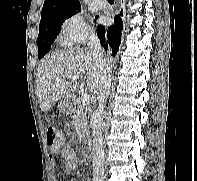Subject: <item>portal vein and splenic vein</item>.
Listing matches in <instances>:
<instances>
[{"instance_id":"1","label":"portal vein and splenic vein","mask_w":197,"mask_h":181,"mask_svg":"<svg viewBox=\"0 0 197 181\" xmlns=\"http://www.w3.org/2000/svg\"><path fill=\"white\" fill-rule=\"evenodd\" d=\"M79 78H80V75H71V76H69V79H71L72 81H75V80H77ZM61 81H62L61 78H57V82H61ZM89 101H90V95L87 94V93L82 94L81 102H82V105L84 107L89 104Z\"/></svg>"}]
</instances>
